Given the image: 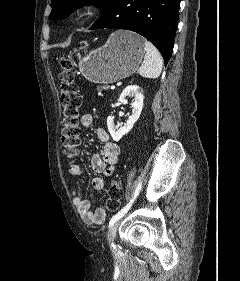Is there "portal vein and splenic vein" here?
Here are the masks:
<instances>
[{"instance_id": "obj_1", "label": "portal vein and splenic vein", "mask_w": 240, "mask_h": 281, "mask_svg": "<svg viewBox=\"0 0 240 281\" xmlns=\"http://www.w3.org/2000/svg\"><path fill=\"white\" fill-rule=\"evenodd\" d=\"M115 88H116L115 86H111V87H110L111 90H114Z\"/></svg>"}]
</instances>
